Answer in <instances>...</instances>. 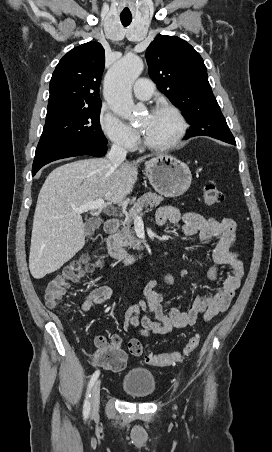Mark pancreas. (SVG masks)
<instances>
[{
	"label": "pancreas",
	"instance_id": "obj_1",
	"mask_svg": "<svg viewBox=\"0 0 272 452\" xmlns=\"http://www.w3.org/2000/svg\"><path fill=\"white\" fill-rule=\"evenodd\" d=\"M163 200L164 198L162 196L148 192L134 203L132 209L126 214L125 219L121 222L122 228L119 233V243L122 247L137 250L142 248L141 240L136 238L132 228L135 212L141 216L144 207H157Z\"/></svg>",
	"mask_w": 272,
	"mask_h": 452
}]
</instances>
